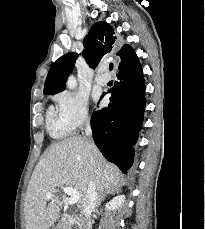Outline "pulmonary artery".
Instances as JSON below:
<instances>
[{"instance_id": "pulmonary-artery-1", "label": "pulmonary artery", "mask_w": 205, "mask_h": 229, "mask_svg": "<svg viewBox=\"0 0 205 229\" xmlns=\"http://www.w3.org/2000/svg\"><path fill=\"white\" fill-rule=\"evenodd\" d=\"M107 82H108V79L105 78V77L99 76V77L96 78V83L99 84V85H102V86H103V85H105Z\"/></svg>"}]
</instances>
